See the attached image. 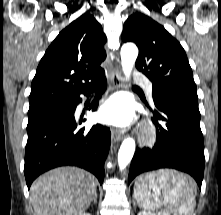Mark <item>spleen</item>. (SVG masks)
<instances>
[{
	"mask_svg": "<svg viewBox=\"0 0 221 215\" xmlns=\"http://www.w3.org/2000/svg\"><path fill=\"white\" fill-rule=\"evenodd\" d=\"M143 176L137 179L136 189H134V196L142 208L153 211L165 207L174 215L193 213L196 206L193 193L195 183L190 177L175 171L164 170L156 181L152 175H149L148 184L144 182Z\"/></svg>",
	"mask_w": 221,
	"mask_h": 215,
	"instance_id": "3e777b00",
	"label": "spleen"
}]
</instances>
